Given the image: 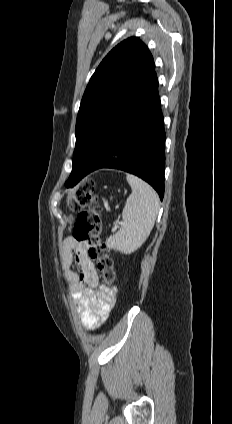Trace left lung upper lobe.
I'll list each match as a JSON object with an SVG mask.
<instances>
[{
  "mask_svg": "<svg viewBox=\"0 0 232 424\" xmlns=\"http://www.w3.org/2000/svg\"><path fill=\"white\" fill-rule=\"evenodd\" d=\"M155 68L147 46L131 37L113 48L100 63L81 100L70 177H80L93 148Z\"/></svg>",
  "mask_w": 232,
  "mask_h": 424,
  "instance_id": "5c2ea615",
  "label": "left lung upper lobe"
}]
</instances>
